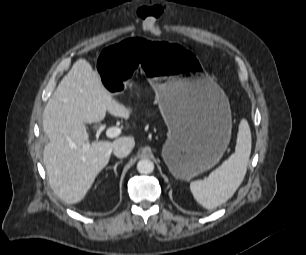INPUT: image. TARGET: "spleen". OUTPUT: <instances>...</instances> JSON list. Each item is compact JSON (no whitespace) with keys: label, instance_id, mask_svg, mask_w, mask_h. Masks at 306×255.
Masks as SVG:
<instances>
[{"label":"spleen","instance_id":"3e777b00","mask_svg":"<svg viewBox=\"0 0 306 255\" xmlns=\"http://www.w3.org/2000/svg\"><path fill=\"white\" fill-rule=\"evenodd\" d=\"M251 145L249 124L242 119L235 153L212 171L207 179L191 182L190 190L199 204L206 209H214L234 195L245 177Z\"/></svg>","mask_w":306,"mask_h":255}]
</instances>
